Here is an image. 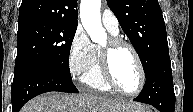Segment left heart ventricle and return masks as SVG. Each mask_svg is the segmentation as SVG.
<instances>
[{
  "label": "left heart ventricle",
  "instance_id": "obj_1",
  "mask_svg": "<svg viewBox=\"0 0 193 112\" xmlns=\"http://www.w3.org/2000/svg\"><path fill=\"white\" fill-rule=\"evenodd\" d=\"M107 41L102 45L106 46ZM111 70L118 85L127 92L139 86L140 75L134 55L127 47H120L111 54Z\"/></svg>",
  "mask_w": 193,
  "mask_h": 112
}]
</instances>
